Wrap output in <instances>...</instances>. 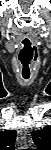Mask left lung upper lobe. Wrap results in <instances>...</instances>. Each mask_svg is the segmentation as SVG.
I'll use <instances>...</instances> for the list:
<instances>
[{
    "label": "left lung upper lobe",
    "mask_w": 51,
    "mask_h": 150,
    "mask_svg": "<svg viewBox=\"0 0 51 150\" xmlns=\"http://www.w3.org/2000/svg\"><path fill=\"white\" fill-rule=\"evenodd\" d=\"M32 139L39 150H46L51 146V126L32 133Z\"/></svg>",
    "instance_id": "obj_1"
}]
</instances>
